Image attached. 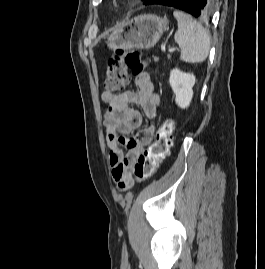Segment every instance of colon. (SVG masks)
I'll use <instances>...</instances> for the list:
<instances>
[{
	"instance_id": "1",
	"label": "colon",
	"mask_w": 265,
	"mask_h": 269,
	"mask_svg": "<svg viewBox=\"0 0 265 269\" xmlns=\"http://www.w3.org/2000/svg\"><path fill=\"white\" fill-rule=\"evenodd\" d=\"M146 65L147 62L139 51L118 49L108 61L105 89L110 92L123 90L129 81L128 71L132 70L133 73L139 74ZM172 138V122L165 120L159 125L154 141L137 157L133 164L132 175L136 181L146 180L155 173L169 151Z\"/></svg>"
}]
</instances>
